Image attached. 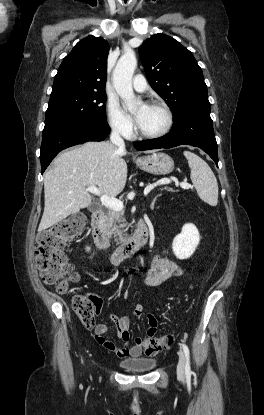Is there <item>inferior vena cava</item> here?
Here are the masks:
<instances>
[{
    "label": "inferior vena cava",
    "instance_id": "602c4592",
    "mask_svg": "<svg viewBox=\"0 0 264 415\" xmlns=\"http://www.w3.org/2000/svg\"><path fill=\"white\" fill-rule=\"evenodd\" d=\"M111 142L118 148L120 152L125 151V143L124 140L121 138L117 129H113L110 135Z\"/></svg>",
    "mask_w": 264,
    "mask_h": 415
}]
</instances>
